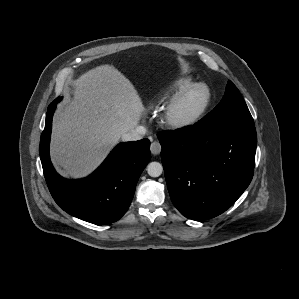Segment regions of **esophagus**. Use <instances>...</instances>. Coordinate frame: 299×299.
Wrapping results in <instances>:
<instances>
[{
	"label": "esophagus",
	"instance_id": "obj_1",
	"mask_svg": "<svg viewBox=\"0 0 299 299\" xmlns=\"http://www.w3.org/2000/svg\"><path fill=\"white\" fill-rule=\"evenodd\" d=\"M151 153L153 155H158L161 152V145L158 141H154L150 146Z\"/></svg>",
	"mask_w": 299,
	"mask_h": 299
}]
</instances>
